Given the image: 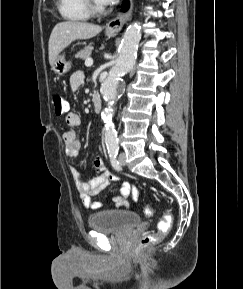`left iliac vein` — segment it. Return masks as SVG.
Returning <instances> with one entry per match:
<instances>
[{
	"mask_svg": "<svg viewBox=\"0 0 243 289\" xmlns=\"http://www.w3.org/2000/svg\"><path fill=\"white\" fill-rule=\"evenodd\" d=\"M118 160H119V163H120L121 166L125 165L126 164V155H125V153H121L119 155Z\"/></svg>",
	"mask_w": 243,
	"mask_h": 289,
	"instance_id": "obj_1",
	"label": "left iliac vein"
}]
</instances>
